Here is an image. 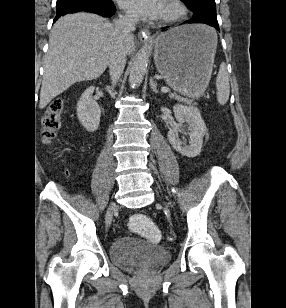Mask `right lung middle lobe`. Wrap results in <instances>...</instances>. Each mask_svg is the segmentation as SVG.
<instances>
[{
  "instance_id": "dd1d6c3e",
  "label": "right lung middle lobe",
  "mask_w": 286,
  "mask_h": 308,
  "mask_svg": "<svg viewBox=\"0 0 286 308\" xmlns=\"http://www.w3.org/2000/svg\"><path fill=\"white\" fill-rule=\"evenodd\" d=\"M78 1H100V2H108L109 0H57V6L71 3V2H78Z\"/></svg>"
}]
</instances>
